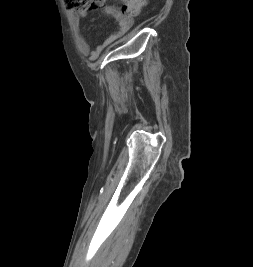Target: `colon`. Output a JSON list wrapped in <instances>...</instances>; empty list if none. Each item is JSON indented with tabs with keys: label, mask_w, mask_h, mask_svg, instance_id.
Wrapping results in <instances>:
<instances>
[{
	"label": "colon",
	"mask_w": 253,
	"mask_h": 267,
	"mask_svg": "<svg viewBox=\"0 0 253 267\" xmlns=\"http://www.w3.org/2000/svg\"><path fill=\"white\" fill-rule=\"evenodd\" d=\"M65 6L74 11H90L103 6L105 0H64ZM122 12L130 17L141 14L144 10L147 0H121Z\"/></svg>",
	"instance_id": "5ec220e1"
}]
</instances>
